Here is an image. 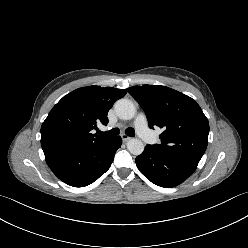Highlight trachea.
Wrapping results in <instances>:
<instances>
[{
    "label": "trachea",
    "instance_id": "trachea-1",
    "mask_svg": "<svg viewBox=\"0 0 248 248\" xmlns=\"http://www.w3.org/2000/svg\"><path fill=\"white\" fill-rule=\"evenodd\" d=\"M125 133L131 137L135 136V131L132 128H127L125 130ZM99 134L102 136H116L119 134V129L113 128V129L106 131V132L99 131Z\"/></svg>",
    "mask_w": 248,
    "mask_h": 248
}]
</instances>
